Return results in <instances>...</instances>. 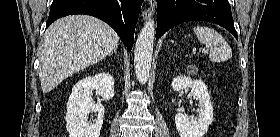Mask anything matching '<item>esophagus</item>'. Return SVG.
<instances>
[{
    "label": "esophagus",
    "instance_id": "obj_1",
    "mask_svg": "<svg viewBox=\"0 0 280 137\" xmlns=\"http://www.w3.org/2000/svg\"><path fill=\"white\" fill-rule=\"evenodd\" d=\"M146 3L148 5V8H145L141 14L143 20L151 19L155 12V0H148L146 1Z\"/></svg>",
    "mask_w": 280,
    "mask_h": 137
}]
</instances>
